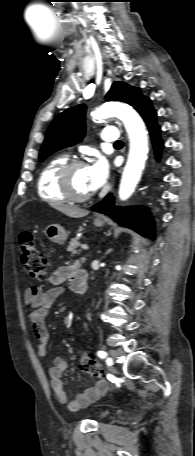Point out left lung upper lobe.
Wrapping results in <instances>:
<instances>
[{
  "label": "left lung upper lobe",
  "mask_w": 195,
  "mask_h": 456,
  "mask_svg": "<svg viewBox=\"0 0 195 456\" xmlns=\"http://www.w3.org/2000/svg\"><path fill=\"white\" fill-rule=\"evenodd\" d=\"M105 99L130 104L137 109L146 99L137 88L115 82ZM85 106L79 105L60 113L51 123L42 144L39 159L42 162L53 152L78 143L85 134Z\"/></svg>",
  "instance_id": "obj_1"
}]
</instances>
